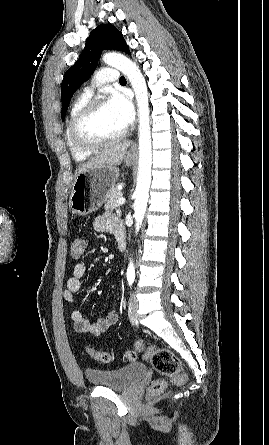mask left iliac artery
Wrapping results in <instances>:
<instances>
[{"instance_id": "44dca946", "label": "left iliac artery", "mask_w": 269, "mask_h": 445, "mask_svg": "<svg viewBox=\"0 0 269 445\" xmlns=\"http://www.w3.org/2000/svg\"><path fill=\"white\" fill-rule=\"evenodd\" d=\"M127 279H128L129 285L131 286L132 283L134 282L135 277L134 276H128Z\"/></svg>"}]
</instances>
